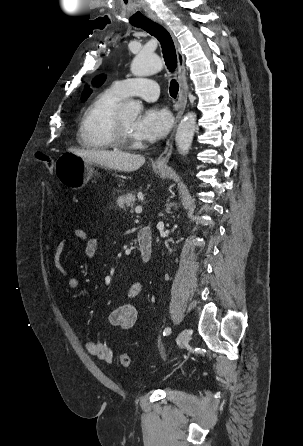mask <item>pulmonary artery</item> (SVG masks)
Instances as JSON below:
<instances>
[{
    "mask_svg": "<svg viewBox=\"0 0 303 446\" xmlns=\"http://www.w3.org/2000/svg\"><path fill=\"white\" fill-rule=\"evenodd\" d=\"M113 87L124 98L136 96L153 102L159 97V85L149 78H127L114 82Z\"/></svg>",
    "mask_w": 303,
    "mask_h": 446,
    "instance_id": "e3ab8cb5",
    "label": "pulmonary artery"
}]
</instances>
